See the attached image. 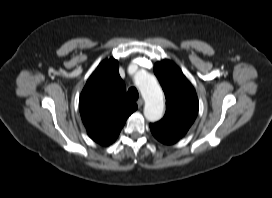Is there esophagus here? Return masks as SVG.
I'll return each instance as SVG.
<instances>
[{"mask_svg": "<svg viewBox=\"0 0 272 198\" xmlns=\"http://www.w3.org/2000/svg\"><path fill=\"white\" fill-rule=\"evenodd\" d=\"M143 103H144V101H143L142 98L138 99L137 105H138L139 108L143 106Z\"/></svg>", "mask_w": 272, "mask_h": 198, "instance_id": "1", "label": "esophagus"}]
</instances>
